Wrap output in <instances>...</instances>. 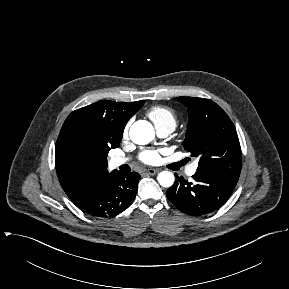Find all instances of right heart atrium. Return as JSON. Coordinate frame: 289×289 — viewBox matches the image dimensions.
<instances>
[{
	"instance_id": "1",
	"label": "right heart atrium",
	"mask_w": 289,
	"mask_h": 289,
	"mask_svg": "<svg viewBox=\"0 0 289 289\" xmlns=\"http://www.w3.org/2000/svg\"><path fill=\"white\" fill-rule=\"evenodd\" d=\"M129 127H130V122H128V123L126 124V126L124 127V130H123V135H124V136H127L128 131H129Z\"/></svg>"
}]
</instances>
